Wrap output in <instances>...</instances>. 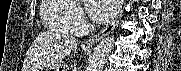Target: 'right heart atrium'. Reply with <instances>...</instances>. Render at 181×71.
Here are the masks:
<instances>
[{
	"instance_id": "right-heart-atrium-1",
	"label": "right heart atrium",
	"mask_w": 181,
	"mask_h": 71,
	"mask_svg": "<svg viewBox=\"0 0 181 71\" xmlns=\"http://www.w3.org/2000/svg\"><path fill=\"white\" fill-rule=\"evenodd\" d=\"M76 3V1H70ZM69 22L78 33L84 31L89 25L88 20L81 7L74 5V9L70 15Z\"/></svg>"
}]
</instances>
